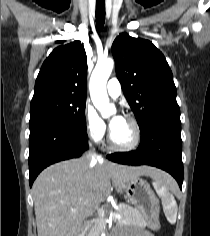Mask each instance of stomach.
Returning a JSON list of instances; mask_svg holds the SVG:
<instances>
[{"label": "stomach", "instance_id": "stomach-1", "mask_svg": "<svg viewBox=\"0 0 210 236\" xmlns=\"http://www.w3.org/2000/svg\"><path fill=\"white\" fill-rule=\"evenodd\" d=\"M125 197L144 217L152 230L160 228L159 201L150 185L141 178H133L125 184Z\"/></svg>", "mask_w": 210, "mask_h": 236}]
</instances>
